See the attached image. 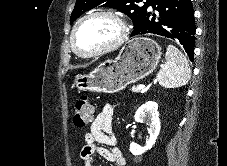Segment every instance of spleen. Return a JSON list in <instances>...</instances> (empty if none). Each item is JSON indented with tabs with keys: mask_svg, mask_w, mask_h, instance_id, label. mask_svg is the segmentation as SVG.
<instances>
[{
	"mask_svg": "<svg viewBox=\"0 0 227 166\" xmlns=\"http://www.w3.org/2000/svg\"><path fill=\"white\" fill-rule=\"evenodd\" d=\"M165 59V64L157 73L159 84L165 88L186 85L191 78V69L186 56L175 46L168 45Z\"/></svg>",
	"mask_w": 227,
	"mask_h": 166,
	"instance_id": "spleen-1",
	"label": "spleen"
}]
</instances>
